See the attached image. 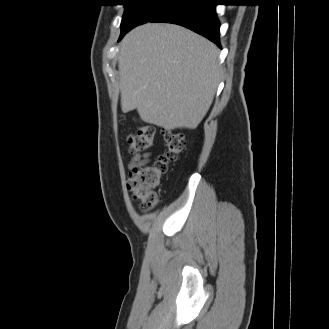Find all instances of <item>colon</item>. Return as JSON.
<instances>
[{
	"label": "colon",
	"instance_id": "1",
	"mask_svg": "<svg viewBox=\"0 0 329 329\" xmlns=\"http://www.w3.org/2000/svg\"><path fill=\"white\" fill-rule=\"evenodd\" d=\"M155 130L152 126L142 125L137 133L128 137V145L133 153H143L153 148ZM165 151L156 160L147 165L135 167L129 174L127 190L133 200L143 210H149L158 204L156 189L160 186L168 165L174 162L185 149L186 141L178 131L164 133Z\"/></svg>",
	"mask_w": 329,
	"mask_h": 329
}]
</instances>
